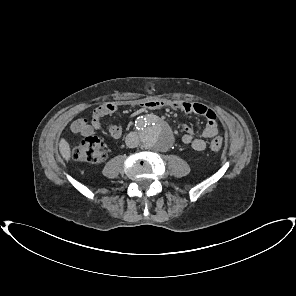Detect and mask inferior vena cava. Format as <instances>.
Returning <instances> with one entry per match:
<instances>
[{
  "label": "inferior vena cava",
  "instance_id": "1",
  "mask_svg": "<svg viewBox=\"0 0 296 296\" xmlns=\"http://www.w3.org/2000/svg\"><path fill=\"white\" fill-rule=\"evenodd\" d=\"M126 146L129 148H135L139 145L140 139L136 132H130L125 138Z\"/></svg>",
  "mask_w": 296,
  "mask_h": 296
}]
</instances>
